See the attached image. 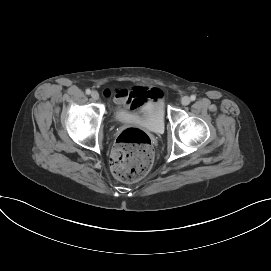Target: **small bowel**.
Segmentation results:
<instances>
[{
  "label": "small bowel",
  "instance_id": "c3829d8e",
  "mask_svg": "<svg viewBox=\"0 0 271 271\" xmlns=\"http://www.w3.org/2000/svg\"><path fill=\"white\" fill-rule=\"evenodd\" d=\"M105 96L110 97L111 92L105 90ZM162 97V91L158 88H149L140 86L127 91L124 89L118 90L113 100L116 104L122 105L130 110H138L147 102H155Z\"/></svg>",
  "mask_w": 271,
  "mask_h": 271
}]
</instances>
